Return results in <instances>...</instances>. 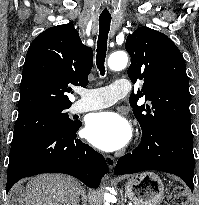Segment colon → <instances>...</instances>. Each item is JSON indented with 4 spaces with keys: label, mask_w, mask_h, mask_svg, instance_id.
Segmentation results:
<instances>
[{
    "label": "colon",
    "mask_w": 199,
    "mask_h": 205,
    "mask_svg": "<svg viewBox=\"0 0 199 205\" xmlns=\"http://www.w3.org/2000/svg\"><path fill=\"white\" fill-rule=\"evenodd\" d=\"M186 201V192L183 188H177L170 196H165L159 205H183Z\"/></svg>",
    "instance_id": "1"
}]
</instances>
